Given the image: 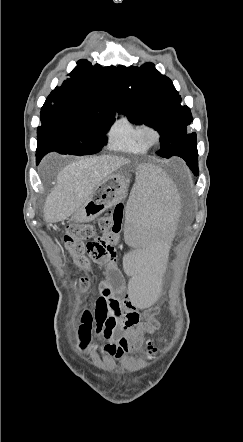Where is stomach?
<instances>
[{"label":"stomach","mask_w":243,"mask_h":442,"mask_svg":"<svg viewBox=\"0 0 243 442\" xmlns=\"http://www.w3.org/2000/svg\"><path fill=\"white\" fill-rule=\"evenodd\" d=\"M128 183L120 174H111L95 189L90 198L73 214L76 222H90L121 201Z\"/></svg>","instance_id":"1"}]
</instances>
